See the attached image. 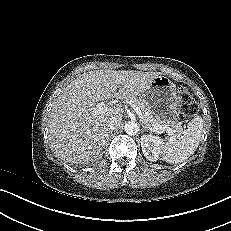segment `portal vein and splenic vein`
I'll return each mask as SVG.
<instances>
[{"label": "portal vein and splenic vein", "instance_id": "1", "mask_svg": "<svg viewBox=\"0 0 231 231\" xmlns=\"http://www.w3.org/2000/svg\"><path fill=\"white\" fill-rule=\"evenodd\" d=\"M132 107L135 110L136 114L139 116V118L142 119L143 114L141 112V109L135 104H133ZM108 108L109 107L104 102H100V103L96 104L94 112L95 113L105 112L108 110ZM150 130L153 132H157V133H160L161 131H166L169 135H172L174 133V131L172 130V128L168 124L156 125V126L150 128Z\"/></svg>", "mask_w": 231, "mask_h": 231}]
</instances>
